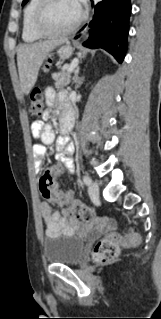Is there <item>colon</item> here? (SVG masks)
Segmentation results:
<instances>
[{
    "mask_svg": "<svg viewBox=\"0 0 161 319\" xmlns=\"http://www.w3.org/2000/svg\"><path fill=\"white\" fill-rule=\"evenodd\" d=\"M29 113L32 116L43 114V97L39 87L32 89L30 95ZM41 194L47 200L59 202L64 198V193L54 188V181L51 174L46 173L40 182ZM67 215L83 221H90L95 218L94 212L85 202L72 200L68 204ZM140 236L133 230L126 235L111 233L99 240L93 250V258L100 263H110L120 254L122 247H134L140 244Z\"/></svg>",
    "mask_w": 161,
    "mask_h": 319,
    "instance_id": "1",
    "label": "colon"
}]
</instances>
